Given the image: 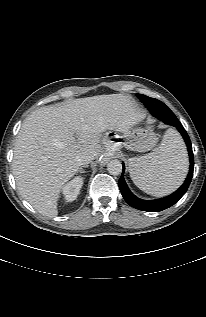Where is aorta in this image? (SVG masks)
I'll use <instances>...</instances> for the list:
<instances>
[{
    "label": "aorta",
    "mask_w": 206,
    "mask_h": 317,
    "mask_svg": "<svg viewBox=\"0 0 206 317\" xmlns=\"http://www.w3.org/2000/svg\"><path fill=\"white\" fill-rule=\"evenodd\" d=\"M107 170L111 175H119L122 172V164L119 160H111L107 164Z\"/></svg>",
    "instance_id": "aorta-1"
}]
</instances>
